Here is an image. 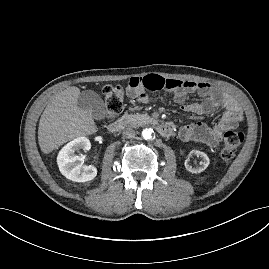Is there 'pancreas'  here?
Masks as SVG:
<instances>
[{"mask_svg": "<svg viewBox=\"0 0 269 269\" xmlns=\"http://www.w3.org/2000/svg\"><path fill=\"white\" fill-rule=\"evenodd\" d=\"M147 118L144 114H124L119 121L127 126L139 127L147 123Z\"/></svg>", "mask_w": 269, "mask_h": 269, "instance_id": "1", "label": "pancreas"}]
</instances>
